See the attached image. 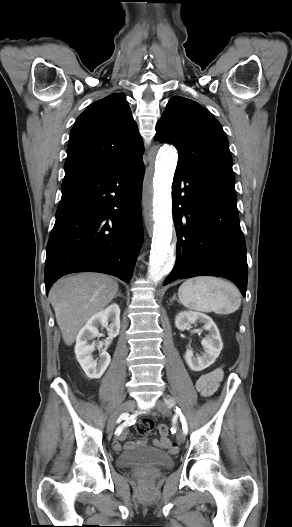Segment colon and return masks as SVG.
I'll return each instance as SVG.
<instances>
[{
    "mask_svg": "<svg viewBox=\"0 0 292 527\" xmlns=\"http://www.w3.org/2000/svg\"><path fill=\"white\" fill-rule=\"evenodd\" d=\"M153 428H154V423L150 419H143L137 424V431L140 434H148L153 430Z\"/></svg>",
    "mask_w": 292,
    "mask_h": 527,
    "instance_id": "colon-1",
    "label": "colon"
}]
</instances>
